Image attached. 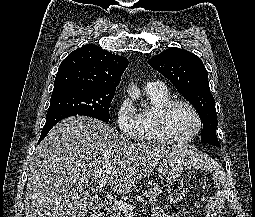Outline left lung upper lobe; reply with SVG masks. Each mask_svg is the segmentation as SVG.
<instances>
[{
    "label": "left lung upper lobe",
    "instance_id": "1",
    "mask_svg": "<svg viewBox=\"0 0 255 217\" xmlns=\"http://www.w3.org/2000/svg\"><path fill=\"white\" fill-rule=\"evenodd\" d=\"M148 63L170 80L178 92L196 108L203 122L201 142L220 147L216 136L215 100L201 59L187 50L169 48L149 59Z\"/></svg>",
    "mask_w": 255,
    "mask_h": 217
}]
</instances>
